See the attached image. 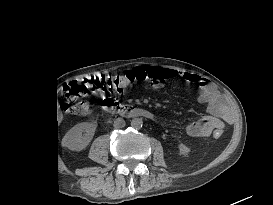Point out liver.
<instances>
[{
  "mask_svg": "<svg viewBox=\"0 0 273 205\" xmlns=\"http://www.w3.org/2000/svg\"><path fill=\"white\" fill-rule=\"evenodd\" d=\"M61 120V114H60V112L58 111V121H60Z\"/></svg>",
  "mask_w": 273,
  "mask_h": 205,
  "instance_id": "liver-1",
  "label": "liver"
}]
</instances>
